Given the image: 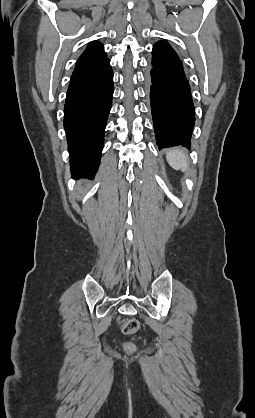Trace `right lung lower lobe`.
<instances>
[{
	"label": "right lung lower lobe",
	"instance_id": "1",
	"mask_svg": "<svg viewBox=\"0 0 255 418\" xmlns=\"http://www.w3.org/2000/svg\"><path fill=\"white\" fill-rule=\"evenodd\" d=\"M113 90V72L107 56L76 64L64 107V128L74 176L92 178L96 173Z\"/></svg>",
	"mask_w": 255,
	"mask_h": 418
}]
</instances>
